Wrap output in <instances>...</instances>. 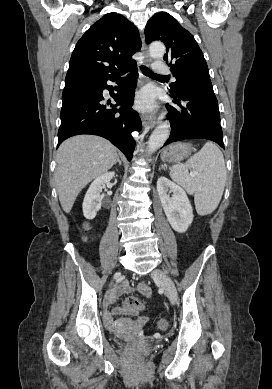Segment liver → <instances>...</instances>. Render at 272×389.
Instances as JSON below:
<instances>
[{"label":"liver","mask_w":272,"mask_h":389,"mask_svg":"<svg viewBox=\"0 0 272 389\" xmlns=\"http://www.w3.org/2000/svg\"><path fill=\"white\" fill-rule=\"evenodd\" d=\"M116 148L95 135H78L57 151L56 188L63 210L69 213L80 191L106 173L117 161Z\"/></svg>","instance_id":"1"}]
</instances>
